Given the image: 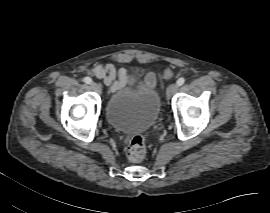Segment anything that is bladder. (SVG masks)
Masks as SVG:
<instances>
[{
  "label": "bladder",
  "mask_w": 270,
  "mask_h": 213,
  "mask_svg": "<svg viewBox=\"0 0 270 213\" xmlns=\"http://www.w3.org/2000/svg\"><path fill=\"white\" fill-rule=\"evenodd\" d=\"M161 101L155 89L115 91L105 104V117L114 128L125 133L141 134L158 121Z\"/></svg>",
  "instance_id": "1"
}]
</instances>
